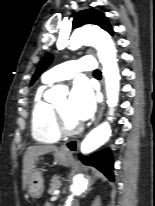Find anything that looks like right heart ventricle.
Listing matches in <instances>:
<instances>
[{
  "instance_id": "1",
  "label": "right heart ventricle",
  "mask_w": 155,
  "mask_h": 206,
  "mask_svg": "<svg viewBox=\"0 0 155 206\" xmlns=\"http://www.w3.org/2000/svg\"><path fill=\"white\" fill-rule=\"evenodd\" d=\"M43 82V85L39 87L33 100L31 132L33 138L38 142L50 144L58 141L61 134L54 122L52 105L44 98V91L50 83Z\"/></svg>"
}]
</instances>
